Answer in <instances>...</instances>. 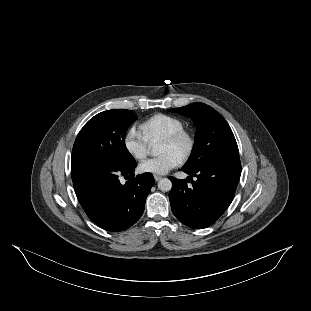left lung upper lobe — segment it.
<instances>
[{
  "mask_svg": "<svg viewBox=\"0 0 311 311\" xmlns=\"http://www.w3.org/2000/svg\"><path fill=\"white\" fill-rule=\"evenodd\" d=\"M169 111L192 118L197 129L192 155L184 169L195 170L216 161L239 159L230 126L212 107L196 102Z\"/></svg>",
  "mask_w": 311,
  "mask_h": 311,
  "instance_id": "5c2ea615",
  "label": "left lung upper lobe"
}]
</instances>
